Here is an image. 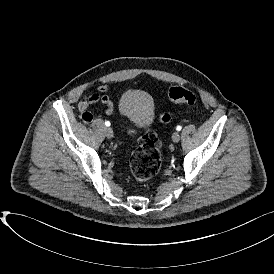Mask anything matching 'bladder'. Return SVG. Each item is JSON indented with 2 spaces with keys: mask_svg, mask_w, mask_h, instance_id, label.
Listing matches in <instances>:
<instances>
[{
  "mask_svg": "<svg viewBox=\"0 0 274 274\" xmlns=\"http://www.w3.org/2000/svg\"><path fill=\"white\" fill-rule=\"evenodd\" d=\"M119 113L133 128H146L153 119V101L149 94L144 91H127L119 101Z\"/></svg>",
  "mask_w": 274,
  "mask_h": 274,
  "instance_id": "1",
  "label": "bladder"
}]
</instances>
